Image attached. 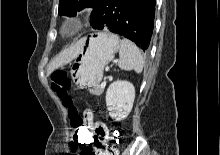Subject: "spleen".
Segmentation results:
<instances>
[{"mask_svg": "<svg viewBox=\"0 0 220 155\" xmlns=\"http://www.w3.org/2000/svg\"><path fill=\"white\" fill-rule=\"evenodd\" d=\"M119 67L122 70H134L141 73L144 66V60L138 47L130 40L124 38L120 43L119 50Z\"/></svg>", "mask_w": 220, "mask_h": 155, "instance_id": "3e777b00", "label": "spleen"}]
</instances>
